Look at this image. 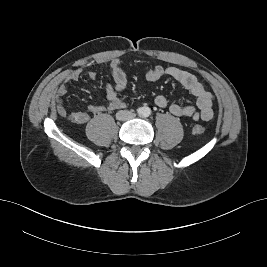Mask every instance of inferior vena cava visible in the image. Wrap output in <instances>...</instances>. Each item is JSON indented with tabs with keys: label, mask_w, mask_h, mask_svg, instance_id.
I'll use <instances>...</instances> for the list:
<instances>
[{
	"label": "inferior vena cava",
	"mask_w": 267,
	"mask_h": 267,
	"mask_svg": "<svg viewBox=\"0 0 267 267\" xmlns=\"http://www.w3.org/2000/svg\"><path fill=\"white\" fill-rule=\"evenodd\" d=\"M134 117V114L130 111L124 110L116 113V118L121 121H127Z\"/></svg>",
	"instance_id": "1"
}]
</instances>
